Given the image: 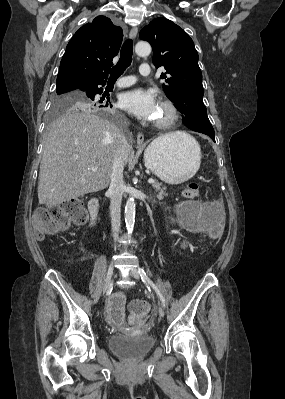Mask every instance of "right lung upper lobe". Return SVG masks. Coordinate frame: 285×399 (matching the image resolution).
Masks as SVG:
<instances>
[{
  "label": "right lung upper lobe",
  "instance_id": "cb5924a9",
  "mask_svg": "<svg viewBox=\"0 0 285 399\" xmlns=\"http://www.w3.org/2000/svg\"><path fill=\"white\" fill-rule=\"evenodd\" d=\"M122 39V29L105 16H98L82 26L66 47L56 89H78L89 80L107 79Z\"/></svg>",
  "mask_w": 285,
  "mask_h": 399
}]
</instances>
